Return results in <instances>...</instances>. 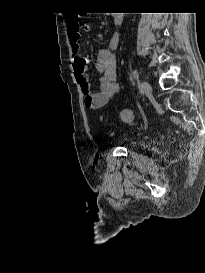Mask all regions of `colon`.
Masks as SVG:
<instances>
[{"mask_svg": "<svg viewBox=\"0 0 205 273\" xmlns=\"http://www.w3.org/2000/svg\"><path fill=\"white\" fill-rule=\"evenodd\" d=\"M82 25H83L82 22L80 23L78 22V24L77 23L75 24V27L78 29V28H81ZM121 119L122 121L127 123L131 122L133 119V112L130 109H123L121 111Z\"/></svg>", "mask_w": 205, "mask_h": 273, "instance_id": "obj_1", "label": "colon"}]
</instances>
